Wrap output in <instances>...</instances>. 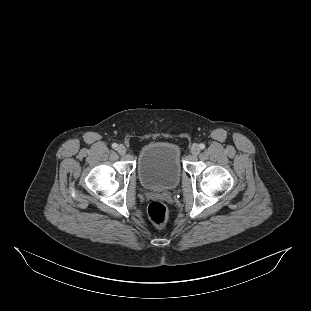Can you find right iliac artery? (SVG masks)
I'll list each match as a JSON object with an SVG mask.
<instances>
[{
    "label": "right iliac artery",
    "instance_id": "1",
    "mask_svg": "<svg viewBox=\"0 0 311 311\" xmlns=\"http://www.w3.org/2000/svg\"><path fill=\"white\" fill-rule=\"evenodd\" d=\"M118 147V145L116 143L112 144V148L116 149Z\"/></svg>",
    "mask_w": 311,
    "mask_h": 311
}]
</instances>
